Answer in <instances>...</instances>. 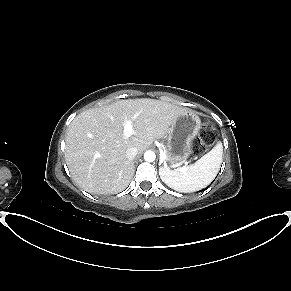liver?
Masks as SVG:
<instances>
[{"mask_svg":"<svg viewBox=\"0 0 291 291\" xmlns=\"http://www.w3.org/2000/svg\"><path fill=\"white\" fill-rule=\"evenodd\" d=\"M189 109L156 99L114 102L77 115L66 133L65 159L72 179L92 194L123 191L134 174L126 150H146L171 130ZM131 120L134 134L123 136V123Z\"/></svg>","mask_w":291,"mask_h":291,"instance_id":"liver-1","label":"liver"}]
</instances>
